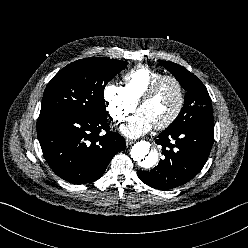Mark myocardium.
Listing matches in <instances>:
<instances>
[{
	"mask_svg": "<svg viewBox=\"0 0 248 248\" xmlns=\"http://www.w3.org/2000/svg\"><path fill=\"white\" fill-rule=\"evenodd\" d=\"M165 81H172L174 82V84L176 85L177 89H178V94H179V100H178V105L176 107V109L174 110V112L163 122L154 125L155 129L158 130H162L167 128L168 126H170L172 123H174L177 118L180 116L184 105H185V90L184 87L181 83V81L176 78L175 76L172 75H163L160 78H158L157 80H155L150 86L149 88L145 91V93L141 96V98L139 99L137 106L138 108L141 107L142 104H144L145 102L149 101L154 95L155 93L158 91V89L160 88V86L165 82Z\"/></svg>",
	"mask_w": 248,
	"mask_h": 248,
	"instance_id": "myocardium-1",
	"label": "myocardium"
}]
</instances>
